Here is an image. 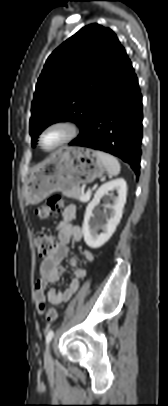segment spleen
<instances>
[{
  "label": "spleen",
  "mask_w": 168,
  "mask_h": 406,
  "mask_svg": "<svg viewBox=\"0 0 168 406\" xmlns=\"http://www.w3.org/2000/svg\"><path fill=\"white\" fill-rule=\"evenodd\" d=\"M96 155L103 163L109 174L116 176L120 173V164L114 156L102 151H96Z\"/></svg>",
  "instance_id": "obj_1"
}]
</instances>
